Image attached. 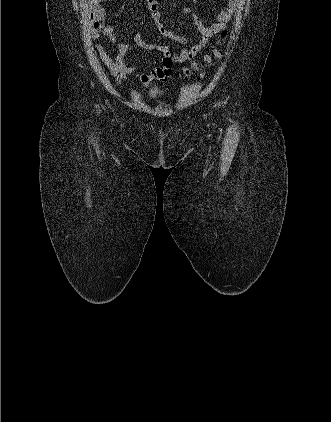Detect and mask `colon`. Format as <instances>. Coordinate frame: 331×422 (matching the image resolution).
I'll list each match as a JSON object with an SVG mask.
<instances>
[{"label": "colon", "instance_id": "5ec220e1", "mask_svg": "<svg viewBox=\"0 0 331 422\" xmlns=\"http://www.w3.org/2000/svg\"><path fill=\"white\" fill-rule=\"evenodd\" d=\"M94 0H90V4L92 5ZM227 31L224 30L222 32V39L217 43V46L212 47L211 53L205 56V61L207 63H211L213 59L219 58L221 55L220 46L223 44L225 38L227 37ZM198 69L197 65L195 63H191L185 68V74L186 76H191L196 70Z\"/></svg>", "mask_w": 331, "mask_h": 422}]
</instances>
